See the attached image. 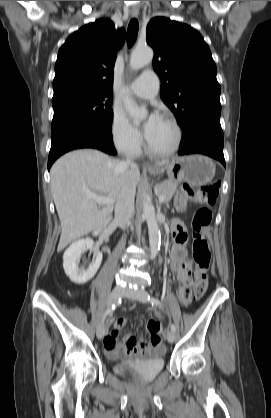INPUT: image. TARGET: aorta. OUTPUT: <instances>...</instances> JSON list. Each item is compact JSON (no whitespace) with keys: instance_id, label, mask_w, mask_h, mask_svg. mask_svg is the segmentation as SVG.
<instances>
[{"instance_id":"aorta-1","label":"aorta","mask_w":271,"mask_h":418,"mask_svg":"<svg viewBox=\"0 0 271 418\" xmlns=\"http://www.w3.org/2000/svg\"><path fill=\"white\" fill-rule=\"evenodd\" d=\"M153 55V50L149 47L135 49L130 57V68L132 70L143 68L152 61ZM123 104L136 124H139L146 118L147 112L145 110H140L130 96H124ZM142 206L143 217L148 225L150 255L151 258H155L160 250L161 236L158 223L155 218V208L150 203L149 197L146 194L143 195Z\"/></svg>"}]
</instances>
